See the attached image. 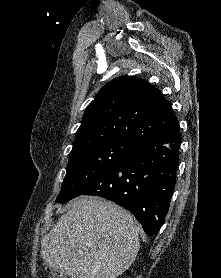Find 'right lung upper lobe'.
I'll return each mask as SVG.
<instances>
[{"label":"right lung upper lobe","instance_id":"cb5924a9","mask_svg":"<svg viewBox=\"0 0 221 278\" xmlns=\"http://www.w3.org/2000/svg\"><path fill=\"white\" fill-rule=\"evenodd\" d=\"M179 127L160 91L134 76H120L100 89L87 107L73 148L92 140L131 143L169 133Z\"/></svg>","mask_w":221,"mask_h":278}]
</instances>
